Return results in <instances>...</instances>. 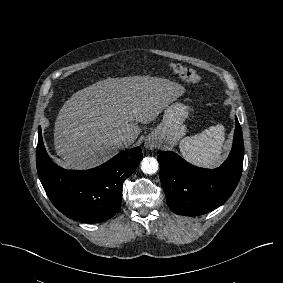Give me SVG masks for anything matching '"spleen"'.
<instances>
[{
  "label": "spleen",
  "instance_id": "spleen-1",
  "mask_svg": "<svg viewBox=\"0 0 283 283\" xmlns=\"http://www.w3.org/2000/svg\"><path fill=\"white\" fill-rule=\"evenodd\" d=\"M225 128L222 124L211 126L199 134L185 137L179 144L181 155L190 163L215 168L221 162Z\"/></svg>",
  "mask_w": 283,
  "mask_h": 283
}]
</instances>
